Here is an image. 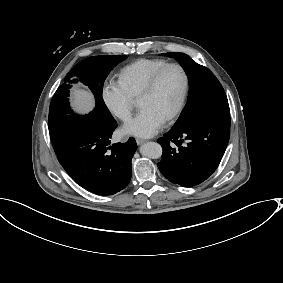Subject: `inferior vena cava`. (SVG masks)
Returning <instances> with one entry per match:
<instances>
[{"label":"inferior vena cava","instance_id":"602c4592","mask_svg":"<svg viewBox=\"0 0 283 283\" xmlns=\"http://www.w3.org/2000/svg\"><path fill=\"white\" fill-rule=\"evenodd\" d=\"M122 114H123V115H125V112H124V111H123V112H121V115H122Z\"/></svg>","mask_w":283,"mask_h":283}]
</instances>
